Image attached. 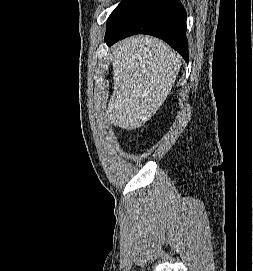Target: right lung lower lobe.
<instances>
[{
  "label": "right lung lower lobe",
  "instance_id": "98d812e1",
  "mask_svg": "<svg viewBox=\"0 0 253 271\" xmlns=\"http://www.w3.org/2000/svg\"><path fill=\"white\" fill-rule=\"evenodd\" d=\"M134 34L164 40L188 62L186 11L178 0H136L105 41L111 46Z\"/></svg>",
  "mask_w": 253,
  "mask_h": 271
}]
</instances>
